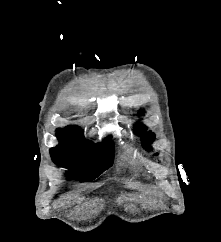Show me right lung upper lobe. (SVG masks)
<instances>
[{"mask_svg": "<svg viewBox=\"0 0 221 242\" xmlns=\"http://www.w3.org/2000/svg\"><path fill=\"white\" fill-rule=\"evenodd\" d=\"M57 133L73 134L80 137L83 135L81 129L77 126H68L66 128H59L57 129Z\"/></svg>", "mask_w": 221, "mask_h": 242, "instance_id": "1", "label": "right lung upper lobe"}]
</instances>
